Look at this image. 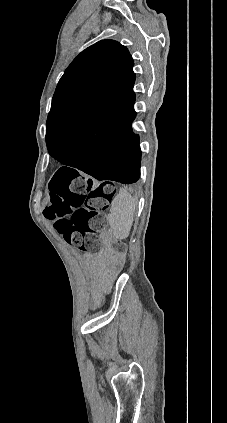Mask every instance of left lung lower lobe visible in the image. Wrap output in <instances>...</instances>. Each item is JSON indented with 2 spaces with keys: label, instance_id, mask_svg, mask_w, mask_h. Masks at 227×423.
<instances>
[{
  "label": "left lung lower lobe",
  "instance_id": "left-lung-lower-lobe-1",
  "mask_svg": "<svg viewBox=\"0 0 227 423\" xmlns=\"http://www.w3.org/2000/svg\"><path fill=\"white\" fill-rule=\"evenodd\" d=\"M135 116V112L110 113L88 124L80 133L50 143L48 151L60 163L97 180L134 183L140 177L141 162L139 136L131 128ZM62 169L73 178L79 176L75 169Z\"/></svg>",
  "mask_w": 227,
  "mask_h": 423
}]
</instances>
